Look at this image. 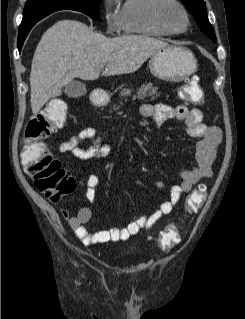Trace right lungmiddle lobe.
Segmentation results:
<instances>
[{"label": "right lung middle lobe", "instance_id": "1", "mask_svg": "<svg viewBox=\"0 0 245 319\" xmlns=\"http://www.w3.org/2000/svg\"><path fill=\"white\" fill-rule=\"evenodd\" d=\"M99 4L100 0H28L23 11L20 28L28 26L32 15L36 11L72 9L83 12L94 20H98Z\"/></svg>", "mask_w": 245, "mask_h": 319}]
</instances>
